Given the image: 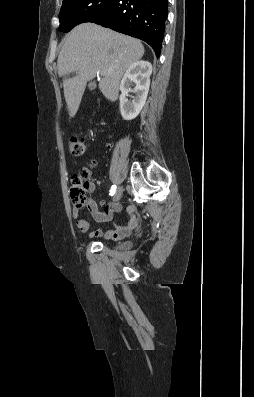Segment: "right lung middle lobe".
Wrapping results in <instances>:
<instances>
[{
	"label": "right lung middle lobe",
	"mask_w": 254,
	"mask_h": 397,
	"mask_svg": "<svg viewBox=\"0 0 254 397\" xmlns=\"http://www.w3.org/2000/svg\"><path fill=\"white\" fill-rule=\"evenodd\" d=\"M113 0H63L59 31L69 32L76 25L99 16Z\"/></svg>",
	"instance_id": "right-lung-middle-lobe-1"
}]
</instances>
